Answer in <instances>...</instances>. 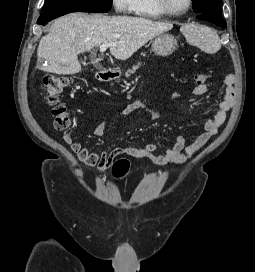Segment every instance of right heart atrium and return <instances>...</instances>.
I'll return each instance as SVG.
<instances>
[{"label":"right heart atrium","instance_id":"obj_1","mask_svg":"<svg viewBox=\"0 0 255 272\" xmlns=\"http://www.w3.org/2000/svg\"><path fill=\"white\" fill-rule=\"evenodd\" d=\"M112 5L118 13H131L134 11V0H112Z\"/></svg>","mask_w":255,"mask_h":272}]
</instances>
